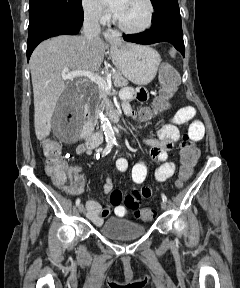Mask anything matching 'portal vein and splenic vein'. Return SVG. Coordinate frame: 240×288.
<instances>
[{
    "instance_id": "1",
    "label": "portal vein and splenic vein",
    "mask_w": 240,
    "mask_h": 288,
    "mask_svg": "<svg viewBox=\"0 0 240 288\" xmlns=\"http://www.w3.org/2000/svg\"><path fill=\"white\" fill-rule=\"evenodd\" d=\"M77 77H86L106 91L111 89L110 79L105 80L103 77L90 71L75 70L62 75L63 80H73Z\"/></svg>"
}]
</instances>
